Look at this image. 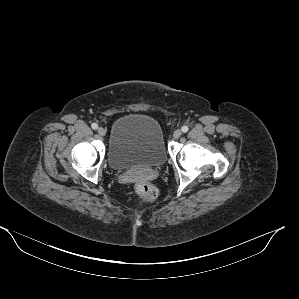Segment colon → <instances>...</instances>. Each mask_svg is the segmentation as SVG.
<instances>
[{"mask_svg": "<svg viewBox=\"0 0 299 299\" xmlns=\"http://www.w3.org/2000/svg\"><path fill=\"white\" fill-rule=\"evenodd\" d=\"M135 191L141 200L145 202L153 201L158 196V190L156 187L145 181L137 182L135 184Z\"/></svg>", "mask_w": 299, "mask_h": 299, "instance_id": "1", "label": "colon"}]
</instances>
